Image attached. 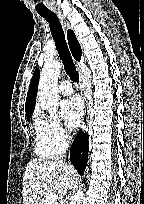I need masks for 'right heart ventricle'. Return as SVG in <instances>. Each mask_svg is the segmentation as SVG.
I'll list each match as a JSON object with an SVG mask.
<instances>
[{
	"label": "right heart ventricle",
	"instance_id": "right-heart-ventricle-1",
	"mask_svg": "<svg viewBox=\"0 0 144 204\" xmlns=\"http://www.w3.org/2000/svg\"><path fill=\"white\" fill-rule=\"evenodd\" d=\"M34 151L42 159H55L61 153L47 140L41 119L36 117L34 121Z\"/></svg>",
	"mask_w": 144,
	"mask_h": 204
}]
</instances>
